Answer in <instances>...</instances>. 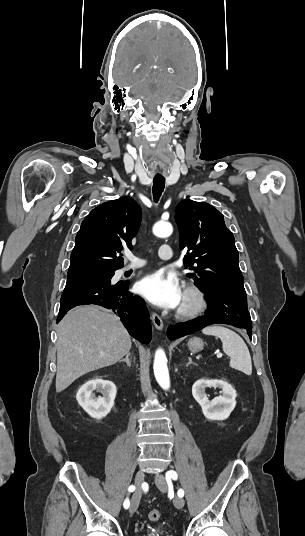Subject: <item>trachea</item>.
<instances>
[{"mask_svg": "<svg viewBox=\"0 0 305 536\" xmlns=\"http://www.w3.org/2000/svg\"><path fill=\"white\" fill-rule=\"evenodd\" d=\"M165 188V178L164 177H154L153 178V197L154 201L158 202L159 198L162 195V192Z\"/></svg>", "mask_w": 305, "mask_h": 536, "instance_id": "1", "label": "trachea"}]
</instances>
